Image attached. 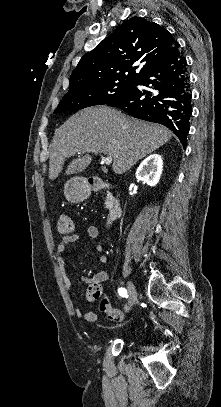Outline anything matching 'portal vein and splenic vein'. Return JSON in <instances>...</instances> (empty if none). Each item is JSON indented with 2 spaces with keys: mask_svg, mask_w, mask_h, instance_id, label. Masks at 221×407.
Here are the masks:
<instances>
[{
  "mask_svg": "<svg viewBox=\"0 0 221 407\" xmlns=\"http://www.w3.org/2000/svg\"><path fill=\"white\" fill-rule=\"evenodd\" d=\"M112 157L111 156H101V162L104 163L105 165H110L112 163Z\"/></svg>",
  "mask_w": 221,
  "mask_h": 407,
  "instance_id": "1",
  "label": "portal vein and splenic vein"
}]
</instances>
